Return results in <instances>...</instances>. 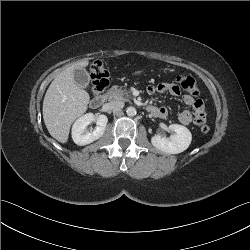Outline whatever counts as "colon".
I'll use <instances>...</instances> for the list:
<instances>
[{"label": "colon", "instance_id": "colon-1", "mask_svg": "<svg viewBox=\"0 0 250 250\" xmlns=\"http://www.w3.org/2000/svg\"><path fill=\"white\" fill-rule=\"evenodd\" d=\"M91 81H92V92L94 94L101 93L109 85V72L105 65L101 61H95L91 65ZM176 85L188 92L192 96H197L199 93L198 86L193 77L188 75H179L176 77ZM201 131L208 133L210 127L208 125H202Z\"/></svg>", "mask_w": 250, "mask_h": 250}]
</instances>
